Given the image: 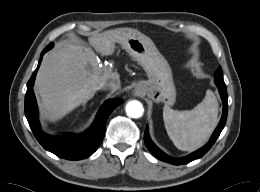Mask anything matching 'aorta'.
Segmentation results:
<instances>
[{"mask_svg":"<svg viewBox=\"0 0 260 192\" xmlns=\"http://www.w3.org/2000/svg\"><path fill=\"white\" fill-rule=\"evenodd\" d=\"M125 111L131 118H140L144 113V108L141 102L131 100L126 104Z\"/></svg>","mask_w":260,"mask_h":192,"instance_id":"aorta-1","label":"aorta"}]
</instances>
